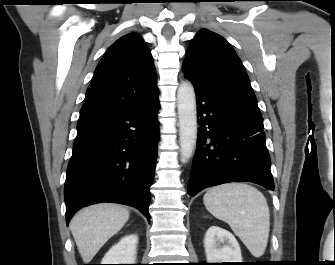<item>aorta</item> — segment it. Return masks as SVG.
<instances>
[{
	"label": "aorta",
	"mask_w": 335,
	"mask_h": 265,
	"mask_svg": "<svg viewBox=\"0 0 335 265\" xmlns=\"http://www.w3.org/2000/svg\"><path fill=\"white\" fill-rule=\"evenodd\" d=\"M179 144L182 162L192 156L197 141V110L195 91L191 83L182 82L177 91Z\"/></svg>",
	"instance_id": "aorta-1"
}]
</instances>
